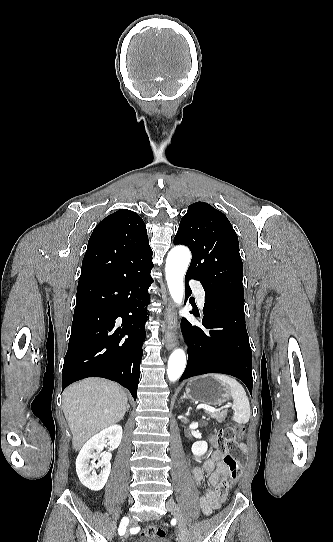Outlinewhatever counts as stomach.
<instances>
[{"instance_id": "1", "label": "stomach", "mask_w": 333, "mask_h": 542, "mask_svg": "<svg viewBox=\"0 0 333 542\" xmlns=\"http://www.w3.org/2000/svg\"><path fill=\"white\" fill-rule=\"evenodd\" d=\"M185 394L193 402H202L208 406H221L230 400L226 386L219 384L212 376H198L189 380Z\"/></svg>"}]
</instances>
